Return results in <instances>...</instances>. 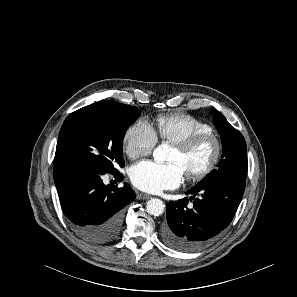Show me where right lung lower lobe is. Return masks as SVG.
I'll return each mask as SVG.
<instances>
[{
	"instance_id": "1",
	"label": "right lung lower lobe",
	"mask_w": 297,
	"mask_h": 297,
	"mask_svg": "<svg viewBox=\"0 0 297 297\" xmlns=\"http://www.w3.org/2000/svg\"><path fill=\"white\" fill-rule=\"evenodd\" d=\"M60 203L75 231L88 241L107 243L121 230L123 208L135 199V192L124 187L105 186L103 173L76 163L53 165ZM115 177L123 179L118 172Z\"/></svg>"
}]
</instances>
